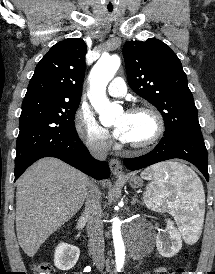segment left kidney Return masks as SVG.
I'll use <instances>...</instances> for the list:
<instances>
[{"label":"left kidney","mask_w":215,"mask_h":274,"mask_svg":"<svg viewBox=\"0 0 215 274\" xmlns=\"http://www.w3.org/2000/svg\"><path fill=\"white\" fill-rule=\"evenodd\" d=\"M156 247L163 257H173L182 248V238L171 220H167V227L156 235Z\"/></svg>","instance_id":"left-kidney-1"}]
</instances>
